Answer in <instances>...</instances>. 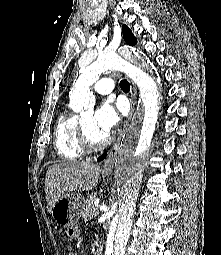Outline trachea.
Returning a JSON list of instances; mask_svg holds the SVG:
<instances>
[{"label":"trachea","instance_id":"1","mask_svg":"<svg viewBox=\"0 0 221 255\" xmlns=\"http://www.w3.org/2000/svg\"><path fill=\"white\" fill-rule=\"evenodd\" d=\"M120 87L124 92L130 91V84L127 80H121Z\"/></svg>","mask_w":221,"mask_h":255}]
</instances>
